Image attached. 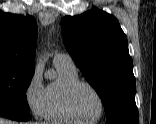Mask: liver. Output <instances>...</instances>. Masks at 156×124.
I'll return each mask as SVG.
<instances>
[{"label": "liver", "instance_id": "obj_1", "mask_svg": "<svg viewBox=\"0 0 156 124\" xmlns=\"http://www.w3.org/2000/svg\"><path fill=\"white\" fill-rule=\"evenodd\" d=\"M0 124H13V123L11 121L0 118ZM28 124H32V123H28Z\"/></svg>", "mask_w": 156, "mask_h": 124}]
</instances>
